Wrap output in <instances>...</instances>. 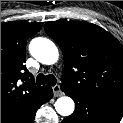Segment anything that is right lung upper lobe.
Instances as JSON below:
<instances>
[{"label":"right lung upper lobe","mask_w":123,"mask_h":123,"mask_svg":"<svg viewBox=\"0 0 123 123\" xmlns=\"http://www.w3.org/2000/svg\"><path fill=\"white\" fill-rule=\"evenodd\" d=\"M43 23H1V122L32 105L45 86H36L24 63L26 42Z\"/></svg>","instance_id":"right-lung-upper-lobe-1"}]
</instances>
